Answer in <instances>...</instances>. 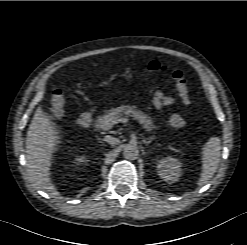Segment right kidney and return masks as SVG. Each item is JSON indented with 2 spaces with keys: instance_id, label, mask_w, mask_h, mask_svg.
I'll use <instances>...</instances> for the list:
<instances>
[{
  "instance_id": "1",
  "label": "right kidney",
  "mask_w": 247,
  "mask_h": 245,
  "mask_svg": "<svg viewBox=\"0 0 247 245\" xmlns=\"http://www.w3.org/2000/svg\"><path fill=\"white\" fill-rule=\"evenodd\" d=\"M76 163L77 164H84L86 163V157L85 156H78L76 159H75Z\"/></svg>"
}]
</instances>
